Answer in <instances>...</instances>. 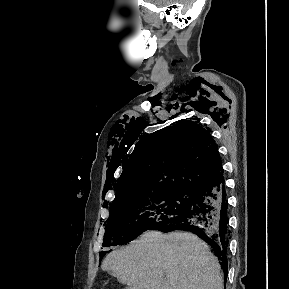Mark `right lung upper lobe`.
<instances>
[{
  "mask_svg": "<svg viewBox=\"0 0 289 289\" xmlns=\"http://www.w3.org/2000/svg\"><path fill=\"white\" fill-rule=\"evenodd\" d=\"M131 155L111 206L138 195L193 191L223 173L210 129L197 121L181 120L144 137Z\"/></svg>",
  "mask_w": 289,
  "mask_h": 289,
  "instance_id": "right-lung-upper-lobe-1",
  "label": "right lung upper lobe"
}]
</instances>
